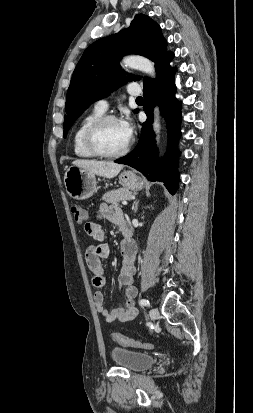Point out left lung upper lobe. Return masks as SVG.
<instances>
[{
    "label": "left lung upper lobe",
    "mask_w": 253,
    "mask_h": 413,
    "mask_svg": "<svg viewBox=\"0 0 253 413\" xmlns=\"http://www.w3.org/2000/svg\"><path fill=\"white\" fill-rule=\"evenodd\" d=\"M165 47L160 26L143 14L136 15L128 29L91 44L81 56L67 91L64 137L74 121L93 102L108 96L127 82L119 67L122 56H145L155 62L158 71L170 54ZM139 79L140 76L128 75L129 81ZM148 80L150 78H145L144 83Z\"/></svg>",
    "instance_id": "left-lung-upper-lobe-1"
}]
</instances>
